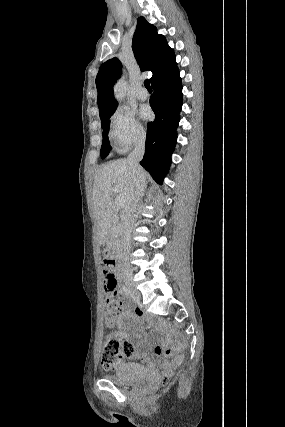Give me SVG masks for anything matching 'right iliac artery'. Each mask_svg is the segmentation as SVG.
I'll list each match as a JSON object with an SVG mask.
<instances>
[{
    "label": "right iliac artery",
    "mask_w": 285,
    "mask_h": 427,
    "mask_svg": "<svg viewBox=\"0 0 285 427\" xmlns=\"http://www.w3.org/2000/svg\"><path fill=\"white\" fill-rule=\"evenodd\" d=\"M122 290H123L125 295H127V296L130 295V290L126 286H123Z\"/></svg>",
    "instance_id": "1"
}]
</instances>
